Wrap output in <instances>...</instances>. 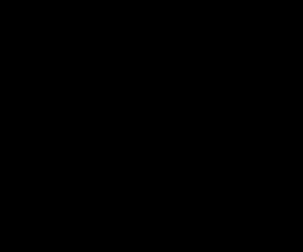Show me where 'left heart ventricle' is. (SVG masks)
I'll return each instance as SVG.
<instances>
[{
	"instance_id": "1",
	"label": "left heart ventricle",
	"mask_w": 303,
	"mask_h": 252,
	"mask_svg": "<svg viewBox=\"0 0 303 252\" xmlns=\"http://www.w3.org/2000/svg\"><path fill=\"white\" fill-rule=\"evenodd\" d=\"M176 115L178 116V119L180 120V122H181L182 124H185V123L188 122V121H185L184 114H183L180 110H177V111H176Z\"/></svg>"
}]
</instances>
